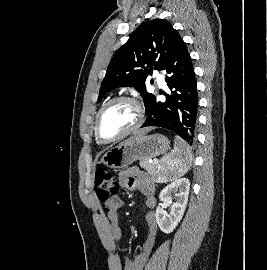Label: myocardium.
I'll list each match as a JSON object with an SVG mask.
<instances>
[{
	"label": "myocardium",
	"mask_w": 267,
	"mask_h": 270,
	"mask_svg": "<svg viewBox=\"0 0 267 270\" xmlns=\"http://www.w3.org/2000/svg\"><path fill=\"white\" fill-rule=\"evenodd\" d=\"M118 102H129L131 104H133L137 110V121L136 123L126 132L122 133L121 135L112 138V139H106L102 136L101 132H100V119L102 114L104 113V111L110 107L111 105L118 103ZM145 119V110L144 107L142 105V103L135 97L133 96H129V95H122V96H118L115 97L111 100H109L108 102H106L98 111L96 118H95V123H94V134L95 137L97 139V141L101 144H112L115 142H118L122 139H124L125 137L131 135L132 133H134L135 131H137L141 125L143 124Z\"/></svg>",
	"instance_id": "f54148a6"
}]
</instances>
